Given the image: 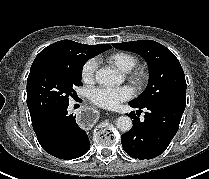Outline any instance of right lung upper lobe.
<instances>
[{"label":"right lung upper lobe","instance_id":"right-lung-upper-lobe-1","mask_svg":"<svg viewBox=\"0 0 209 179\" xmlns=\"http://www.w3.org/2000/svg\"><path fill=\"white\" fill-rule=\"evenodd\" d=\"M110 48L111 46L108 44H99L92 46V45L80 44L71 40H61L43 49L36 56L34 62L50 61V60H66L80 54L98 52L101 50L105 51Z\"/></svg>","mask_w":209,"mask_h":179}]
</instances>
